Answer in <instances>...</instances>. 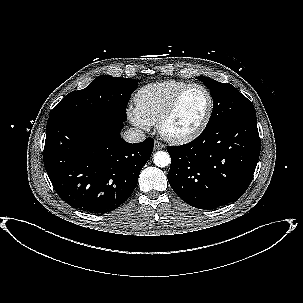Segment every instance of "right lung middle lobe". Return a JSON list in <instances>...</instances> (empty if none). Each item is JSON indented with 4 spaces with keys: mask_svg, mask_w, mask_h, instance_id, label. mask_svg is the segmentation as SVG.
Wrapping results in <instances>:
<instances>
[{
    "mask_svg": "<svg viewBox=\"0 0 303 303\" xmlns=\"http://www.w3.org/2000/svg\"><path fill=\"white\" fill-rule=\"evenodd\" d=\"M131 78L97 77L85 89L67 94L50 112L49 119L79 114H106L126 121V107L136 89Z\"/></svg>",
    "mask_w": 303,
    "mask_h": 303,
    "instance_id": "right-lung-middle-lobe-1",
    "label": "right lung middle lobe"
}]
</instances>
